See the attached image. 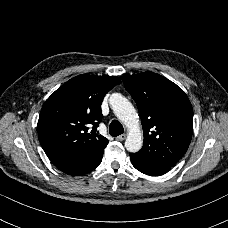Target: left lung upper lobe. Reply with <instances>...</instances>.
<instances>
[{"mask_svg": "<svg viewBox=\"0 0 228 228\" xmlns=\"http://www.w3.org/2000/svg\"><path fill=\"white\" fill-rule=\"evenodd\" d=\"M135 100L142 122L144 144L133 153L158 166H174L187 151L193 134V109L175 83L153 73L121 76Z\"/></svg>", "mask_w": 228, "mask_h": 228, "instance_id": "1", "label": "left lung upper lobe"}]
</instances>
